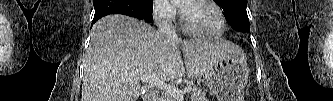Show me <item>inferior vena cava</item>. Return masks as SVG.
Segmentation results:
<instances>
[{"instance_id":"obj_1","label":"inferior vena cava","mask_w":333,"mask_h":101,"mask_svg":"<svg viewBox=\"0 0 333 101\" xmlns=\"http://www.w3.org/2000/svg\"><path fill=\"white\" fill-rule=\"evenodd\" d=\"M159 32L164 34L167 39H177V34L174 25L170 19H164L158 23Z\"/></svg>"}]
</instances>
